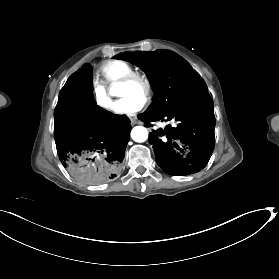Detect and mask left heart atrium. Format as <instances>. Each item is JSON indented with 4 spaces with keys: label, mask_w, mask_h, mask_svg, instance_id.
<instances>
[{
    "label": "left heart atrium",
    "mask_w": 279,
    "mask_h": 279,
    "mask_svg": "<svg viewBox=\"0 0 279 279\" xmlns=\"http://www.w3.org/2000/svg\"><path fill=\"white\" fill-rule=\"evenodd\" d=\"M145 106L143 97H124L115 105V112L120 115H134Z\"/></svg>",
    "instance_id": "39dd6f15"
}]
</instances>
